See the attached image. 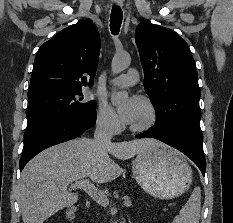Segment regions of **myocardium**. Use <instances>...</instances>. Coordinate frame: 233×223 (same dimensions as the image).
I'll return each mask as SVG.
<instances>
[{
	"mask_svg": "<svg viewBox=\"0 0 233 223\" xmlns=\"http://www.w3.org/2000/svg\"><path fill=\"white\" fill-rule=\"evenodd\" d=\"M139 99L147 107V109H148V111L150 113V116H151V121L146 126L130 125L129 128L134 133L144 134V133H147V132L153 130L154 128H156L158 126L160 117H159V112H158L157 107L155 106V104L148 97L139 96Z\"/></svg>",
	"mask_w": 233,
	"mask_h": 223,
	"instance_id": "f54148a6",
	"label": "myocardium"
}]
</instances>
